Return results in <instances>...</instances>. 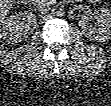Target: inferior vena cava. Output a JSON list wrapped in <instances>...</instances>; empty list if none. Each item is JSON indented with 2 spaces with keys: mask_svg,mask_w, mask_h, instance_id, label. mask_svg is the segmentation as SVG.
Masks as SVG:
<instances>
[{
  "mask_svg": "<svg viewBox=\"0 0 111 106\" xmlns=\"http://www.w3.org/2000/svg\"><path fill=\"white\" fill-rule=\"evenodd\" d=\"M33 8L35 11L46 13L49 10V6L46 0H35L33 2Z\"/></svg>",
  "mask_w": 111,
  "mask_h": 106,
  "instance_id": "inferior-vena-cava-1",
  "label": "inferior vena cava"
}]
</instances>
